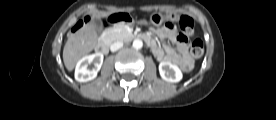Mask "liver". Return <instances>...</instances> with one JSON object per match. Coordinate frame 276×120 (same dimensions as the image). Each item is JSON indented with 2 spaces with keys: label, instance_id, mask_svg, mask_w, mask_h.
<instances>
[{
  "label": "liver",
  "instance_id": "liver-1",
  "mask_svg": "<svg viewBox=\"0 0 276 120\" xmlns=\"http://www.w3.org/2000/svg\"><path fill=\"white\" fill-rule=\"evenodd\" d=\"M107 15L108 13L99 12L96 14V18L100 19ZM96 42V28L91 22L70 34L63 49V61L67 70L72 71L78 61L92 51Z\"/></svg>",
  "mask_w": 276,
  "mask_h": 120
}]
</instances>
